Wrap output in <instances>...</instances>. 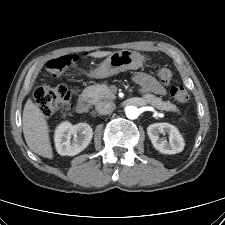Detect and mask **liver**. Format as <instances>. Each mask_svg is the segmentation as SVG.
Listing matches in <instances>:
<instances>
[{
	"label": "liver",
	"mask_w": 225,
	"mask_h": 225,
	"mask_svg": "<svg viewBox=\"0 0 225 225\" xmlns=\"http://www.w3.org/2000/svg\"><path fill=\"white\" fill-rule=\"evenodd\" d=\"M112 54L109 51H97L92 52L89 56L94 58H102ZM22 126L25 141L28 147L36 154L52 159L53 150L49 138L48 125L45 119V115L40 108L28 99L25 103Z\"/></svg>",
	"instance_id": "obj_1"
}]
</instances>
